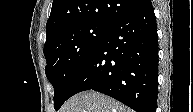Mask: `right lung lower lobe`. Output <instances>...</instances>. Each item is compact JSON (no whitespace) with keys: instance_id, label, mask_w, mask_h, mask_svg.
I'll return each instance as SVG.
<instances>
[{"instance_id":"1","label":"right lung lower lobe","mask_w":193,"mask_h":112,"mask_svg":"<svg viewBox=\"0 0 193 112\" xmlns=\"http://www.w3.org/2000/svg\"><path fill=\"white\" fill-rule=\"evenodd\" d=\"M85 90L109 95L137 112L156 111L158 38L150 0L107 28L80 69L69 98Z\"/></svg>"}]
</instances>
